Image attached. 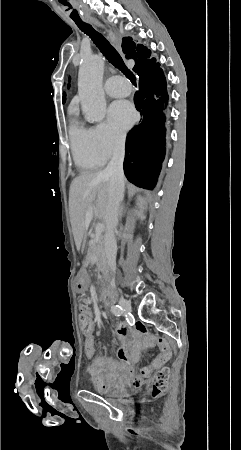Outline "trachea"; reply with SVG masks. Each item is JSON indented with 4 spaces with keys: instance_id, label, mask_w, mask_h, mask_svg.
I'll return each mask as SVG.
<instances>
[{
    "instance_id": "1",
    "label": "trachea",
    "mask_w": 241,
    "mask_h": 450,
    "mask_svg": "<svg viewBox=\"0 0 241 450\" xmlns=\"http://www.w3.org/2000/svg\"><path fill=\"white\" fill-rule=\"evenodd\" d=\"M77 27L88 35L93 43L99 48L100 52L109 60L115 68H118L133 84H136L134 73L129 70L123 62V59L114 47L106 40L105 37L97 32L91 25L85 22H75Z\"/></svg>"
}]
</instances>
